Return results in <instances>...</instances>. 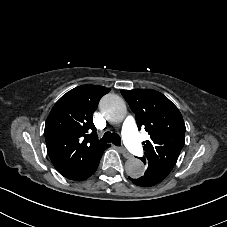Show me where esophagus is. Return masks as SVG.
<instances>
[{
	"label": "esophagus",
	"instance_id": "34e87169",
	"mask_svg": "<svg viewBox=\"0 0 227 227\" xmlns=\"http://www.w3.org/2000/svg\"><path fill=\"white\" fill-rule=\"evenodd\" d=\"M119 150L126 159L133 157L124 147H120Z\"/></svg>",
	"mask_w": 227,
	"mask_h": 227
}]
</instances>
